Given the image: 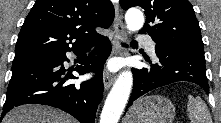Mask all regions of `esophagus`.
Returning a JSON list of instances; mask_svg holds the SVG:
<instances>
[{
    "label": "esophagus",
    "mask_w": 221,
    "mask_h": 123,
    "mask_svg": "<svg viewBox=\"0 0 221 123\" xmlns=\"http://www.w3.org/2000/svg\"><path fill=\"white\" fill-rule=\"evenodd\" d=\"M114 34H115V40L113 41V54L119 55L122 52V48L118 40L125 41L126 31H125V26L122 22L120 9L118 6H115ZM114 80H115V74L106 70L103 77L105 90H108L111 87Z\"/></svg>",
    "instance_id": "obj_1"
}]
</instances>
